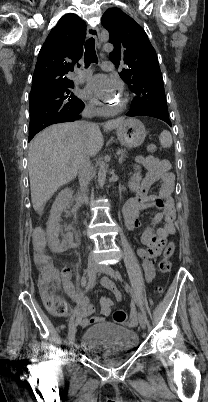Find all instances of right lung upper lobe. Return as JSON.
Instances as JSON below:
<instances>
[{"label":"right lung upper lobe","instance_id":"cb5924a9","mask_svg":"<svg viewBox=\"0 0 208 402\" xmlns=\"http://www.w3.org/2000/svg\"><path fill=\"white\" fill-rule=\"evenodd\" d=\"M85 35L86 23L77 15L66 14L58 21L39 52L31 92L41 84L68 80L82 56Z\"/></svg>","mask_w":208,"mask_h":402}]
</instances>
